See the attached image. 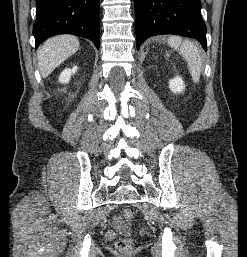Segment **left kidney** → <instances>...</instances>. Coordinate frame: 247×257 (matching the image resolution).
Segmentation results:
<instances>
[{"instance_id":"1","label":"left kidney","mask_w":247,"mask_h":257,"mask_svg":"<svg viewBox=\"0 0 247 257\" xmlns=\"http://www.w3.org/2000/svg\"><path fill=\"white\" fill-rule=\"evenodd\" d=\"M169 88L173 93L177 94L185 90V84L181 77L176 76L169 81Z\"/></svg>"}]
</instances>
